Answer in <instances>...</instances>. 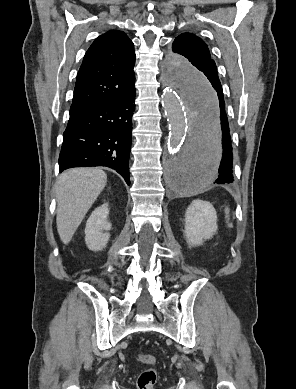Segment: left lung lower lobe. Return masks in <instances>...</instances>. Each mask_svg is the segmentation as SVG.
<instances>
[{
  "instance_id": "1",
  "label": "left lung lower lobe",
  "mask_w": 296,
  "mask_h": 389,
  "mask_svg": "<svg viewBox=\"0 0 296 389\" xmlns=\"http://www.w3.org/2000/svg\"><path fill=\"white\" fill-rule=\"evenodd\" d=\"M207 86L216 100V113L218 125L204 128L201 138L193 132L189 146L183 157L178 161L177 174L185 172L186 177H192L195 174L196 166L203 154L217 143L219 156V169L217 168L215 183H229L233 181L232 175V142L230 133V124L226 113L223 90L219 81L217 70L211 76L205 79ZM182 178V176H180ZM177 178V177H176ZM180 178H178V182ZM181 184V182H179ZM183 185V184H181Z\"/></svg>"
}]
</instances>
